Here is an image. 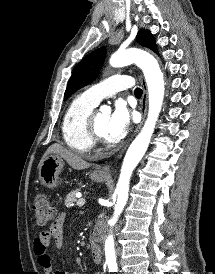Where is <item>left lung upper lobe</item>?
Returning a JSON list of instances; mask_svg holds the SVG:
<instances>
[{"label": "left lung upper lobe", "mask_w": 215, "mask_h": 274, "mask_svg": "<svg viewBox=\"0 0 215 274\" xmlns=\"http://www.w3.org/2000/svg\"><path fill=\"white\" fill-rule=\"evenodd\" d=\"M136 40L142 46L157 53L155 39L150 31L140 30L137 34ZM105 52V47H101L77 64L66 88L64 100L75 91L91 83L97 77L105 58Z\"/></svg>", "instance_id": "obj_1"}]
</instances>
